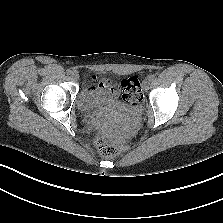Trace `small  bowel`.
Here are the masks:
<instances>
[{"label":"small bowel","mask_w":223,"mask_h":223,"mask_svg":"<svg viewBox=\"0 0 223 223\" xmlns=\"http://www.w3.org/2000/svg\"><path fill=\"white\" fill-rule=\"evenodd\" d=\"M97 83L99 89H107V94L110 96L118 95L119 89L115 86H111L108 80H100Z\"/></svg>","instance_id":"1"}]
</instances>
